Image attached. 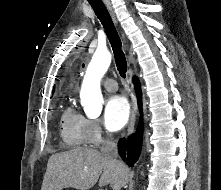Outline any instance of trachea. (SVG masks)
Returning a JSON list of instances; mask_svg holds the SVG:
<instances>
[{
	"label": "trachea",
	"mask_w": 221,
	"mask_h": 190,
	"mask_svg": "<svg viewBox=\"0 0 221 190\" xmlns=\"http://www.w3.org/2000/svg\"><path fill=\"white\" fill-rule=\"evenodd\" d=\"M89 3L94 9L99 20L101 21L105 29V32L108 36V39L110 41V44L114 53L117 70L120 76L122 78H125L126 72H127V61H126L125 54L122 50L121 39L113 24L110 14L101 0L95 1V2L89 1Z\"/></svg>",
	"instance_id": "obj_1"
}]
</instances>
